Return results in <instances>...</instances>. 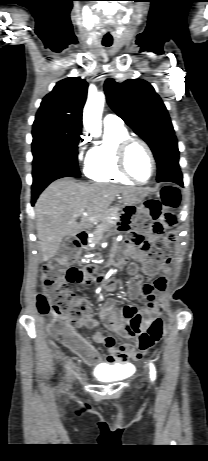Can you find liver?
<instances>
[{"label":"liver","mask_w":208,"mask_h":461,"mask_svg":"<svg viewBox=\"0 0 208 461\" xmlns=\"http://www.w3.org/2000/svg\"><path fill=\"white\" fill-rule=\"evenodd\" d=\"M113 184H85L64 178L50 184L35 205L37 238L42 260L53 258L66 236H75L102 220L119 194L136 191ZM77 217H81L80 223Z\"/></svg>","instance_id":"6515ba94"}]
</instances>
